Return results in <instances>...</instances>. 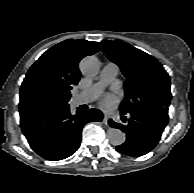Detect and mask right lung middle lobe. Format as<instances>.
<instances>
[{
	"mask_svg": "<svg viewBox=\"0 0 194 193\" xmlns=\"http://www.w3.org/2000/svg\"><path fill=\"white\" fill-rule=\"evenodd\" d=\"M71 95H58V94H48L44 95L32 104H26L19 107L20 114L30 113L38 110H47L60 108L68 105V101Z\"/></svg>",
	"mask_w": 194,
	"mask_h": 193,
	"instance_id": "right-lung-middle-lobe-1",
	"label": "right lung middle lobe"
}]
</instances>
